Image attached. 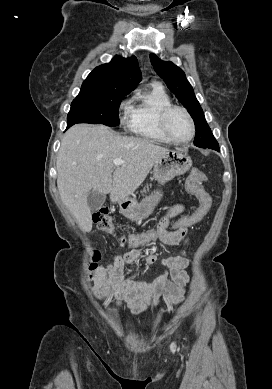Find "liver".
Instances as JSON below:
<instances>
[{
  "mask_svg": "<svg viewBox=\"0 0 272 389\" xmlns=\"http://www.w3.org/2000/svg\"><path fill=\"white\" fill-rule=\"evenodd\" d=\"M168 151L147 139L121 136L104 125H74L64 134L56 161L61 200L81 229L89 232L91 190L109 193L113 203L128 198ZM115 159L124 163L115 166Z\"/></svg>",
  "mask_w": 272,
  "mask_h": 389,
  "instance_id": "1",
  "label": "liver"
}]
</instances>
